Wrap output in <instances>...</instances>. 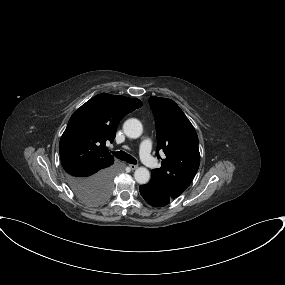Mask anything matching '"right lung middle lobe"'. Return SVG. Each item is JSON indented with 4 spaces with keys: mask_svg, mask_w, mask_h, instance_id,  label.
Segmentation results:
<instances>
[{
    "mask_svg": "<svg viewBox=\"0 0 285 285\" xmlns=\"http://www.w3.org/2000/svg\"><path fill=\"white\" fill-rule=\"evenodd\" d=\"M111 188L107 187H91L76 191L75 194L83 202L96 205L104 202L110 195Z\"/></svg>",
    "mask_w": 285,
    "mask_h": 285,
    "instance_id": "1",
    "label": "right lung middle lobe"
}]
</instances>
